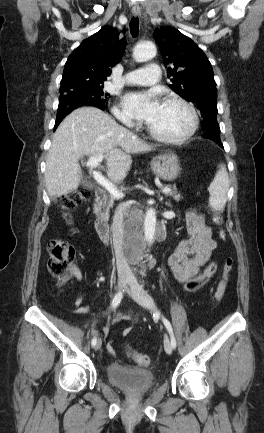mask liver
<instances>
[{
    "label": "liver",
    "instance_id": "liver-1",
    "mask_svg": "<svg viewBox=\"0 0 264 433\" xmlns=\"http://www.w3.org/2000/svg\"><path fill=\"white\" fill-rule=\"evenodd\" d=\"M153 149L102 110L78 108L65 117L53 136L46 160L47 192L56 198L78 188L83 155L103 154L108 178L120 183L130 170L132 155Z\"/></svg>",
    "mask_w": 264,
    "mask_h": 433
}]
</instances>
